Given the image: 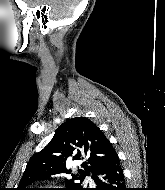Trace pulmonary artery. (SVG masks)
Segmentation results:
<instances>
[{
  "label": "pulmonary artery",
  "instance_id": "pulmonary-artery-1",
  "mask_svg": "<svg viewBox=\"0 0 165 190\" xmlns=\"http://www.w3.org/2000/svg\"><path fill=\"white\" fill-rule=\"evenodd\" d=\"M88 181L90 182V184H92V181L90 179H88Z\"/></svg>",
  "mask_w": 165,
  "mask_h": 190
}]
</instances>
